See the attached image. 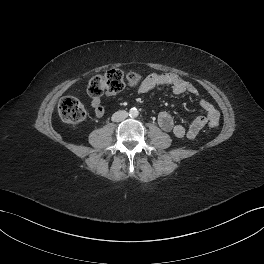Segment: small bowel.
I'll return each instance as SVG.
<instances>
[{"mask_svg":"<svg viewBox=\"0 0 264 264\" xmlns=\"http://www.w3.org/2000/svg\"><path fill=\"white\" fill-rule=\"evenodd\" d=\"M169 88L174 94H191L197 97L200 107L205 111L204 116L196 117L191 124L185 128L180 124H176L172 116L167 112H161L158 115L159 126L166 132L172 133L177 138L194 139L202 128L210 121L219 120V111L214 105L201 97L198 89L190 82L182 79L173 73H150L140 84L138 91L146 93L154 88ZM91 106L96 117H103L105 109L99 97L91 100Z\"/></svg>","mask_w":264,"mask_h":264,"instance_id":"1","label":"small bowel"}]
</instances>
